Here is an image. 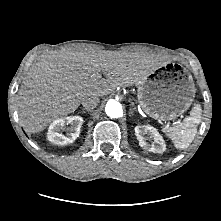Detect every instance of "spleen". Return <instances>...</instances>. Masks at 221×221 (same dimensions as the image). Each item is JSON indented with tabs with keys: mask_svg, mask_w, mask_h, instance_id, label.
Instances as JSON below:
<instances>
[{
	"mask_svg": "<svg viewBox=\"0 0 221 221\" xmlns=\"http://www.w3.org/2000/svg\"><path fill=\"white\" fill-rule=\"evenodd\" d=\"M200 117L201 106L196 105L191 111V116L186 117L183 123L164 128L163 132L172 140L176 148L183 150L194 140L197 126L200 123Z\"/></svg>",
	"mask_w": 221,
	"mask_h": 221,
	"instance_id": "3e777b00",
	"label": "spleen"
}]
</instances>
